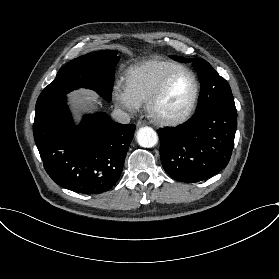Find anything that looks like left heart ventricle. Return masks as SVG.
Wrapping results in <instances>:
<instances>
[{"instance_id":"obj_1","label":"left heart ventricle","mask_w":279,"mask_h":279,"mask_svg":"<svg viewBox=\"0 0 279 279\" xmlns=\"http://www.w3.org/2000/svg\"><path fill=\"white\" fill-rule=\"evenodd\" d=\"M194 90L191 75L183 73L176 77L161 100L158 110L161 114L172 117L178 115L190 101Z\"/></svg>"}]
</instances>
